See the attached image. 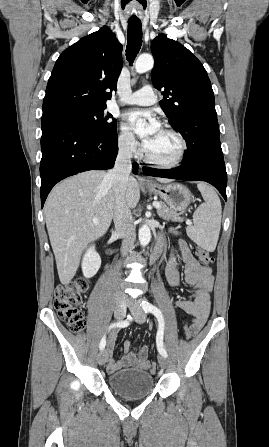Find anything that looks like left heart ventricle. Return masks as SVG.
<instances>
[{
  "label": "left heart ventricle",
  "instance_id": "b2bd125f",
  "mask_svg": "<svg viewBox=\"0 0 269 447\" xmlns=\"http://www.w3.org/2000/svg\"><path fill=\"white\" fill-rule=\"evenodd\" d=\"M145 146L153 159L160 162H171L176 158L181 143L175 135L160 127L145 141Z\"/></svg>",
  "mask_w": 269,
  "mask_h": 447
}]
</instances>
